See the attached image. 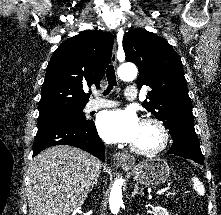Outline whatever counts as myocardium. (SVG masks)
Instances as JSON below:
<instances>
[{"mask_svg":"<svg viewBox=\"0 0 221 215\" xmlns=\"http://www.w3.org/2000/svg\"><path fill=\"white\" fill-rule=\"evenodd\" d=\"M141 124L154 126L159 133V142L152 148H142L132 144L131 150L143 156H152L162 152L168 146L170 140V134L165 124L158 118L154 117L144 118Z\"/></svg>","mask_w":221,"mask_h":215,"instance_id":"myocardium-1","label":"myocardium"}]
</instances>
